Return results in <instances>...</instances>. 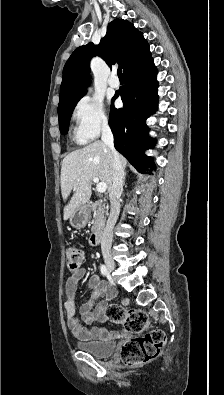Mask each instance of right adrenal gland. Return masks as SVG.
Instances as JSON below:
<instances>
[{
	"label": "right adrenal gland",
	"instance_id": "1",
	"mask_svg": "<svg viewBox=\"0 0 224 395\" xmlns=\"http://www.w3.org/2000/svg\"><path fill=\"white\" fill-rule=\"evenodd\" d=\"M126 178H124V185H125Z\"/></svg>",
	"mask_w": 224,
	"mask_h": 395
}]
</instances>
